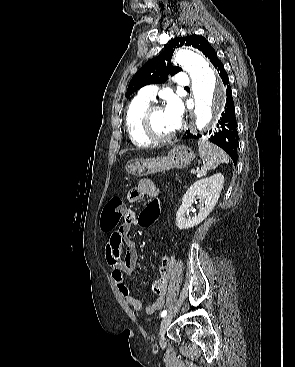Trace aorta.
<instances>
[{"mask_svg":"<svg viewBox=\"0 0 295 367\" xmlns=\"http://www.w3.org/2000/svg\"><path fill=\"white\" fill-rule=\"evenodd\" d=\"M175 62L190 74L195 100V123L197 129L202 130L223 108L224 86L208 61L192 51L180 50L175 56Z\"/></svg>","mask_w":295,"mask_h":367,"instance_id":"762f6f07","label":"aorta"}]
</instances>
